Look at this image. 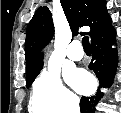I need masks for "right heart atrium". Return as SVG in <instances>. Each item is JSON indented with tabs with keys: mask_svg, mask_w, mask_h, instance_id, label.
<instances>
[{
	"mask_svg": "<svg viewBox=\"0 0 121 113\" xmlns=\"http://www.w3.org/2000/svg\"><path fill=\"white\" fill-rule=\"evenodd\" d=\"M33 98L47 113H67L77 109L78 98L63 83L60 72L44 69L34 84Z\"/></svg>",
	"mask_w": 121,
	"mask_h": 113,
	"instance_id": "obj_1",
	"label": "right heart atrium"
}]
</instances>
